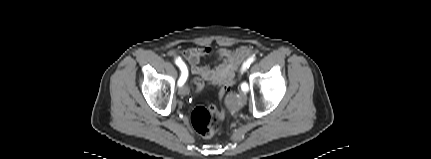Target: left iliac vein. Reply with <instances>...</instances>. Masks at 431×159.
<instances>
[{
  "label": "left iliac vein",
  "instance_id": "1",
  "mask_svg": "<svg viewBox=\"0 0 431 159\" xmlns=\"http://www.w3.org/2000/svg\"><path fill=\"white\" fill-rule=\"evenodd\" d=\"M246 101H247V96H246L245 92L240 91L239 92V102L241 104H245Z\"/></svg>",
  "mask_w": 431,
  "mask_h": 159
}]
</instances>
